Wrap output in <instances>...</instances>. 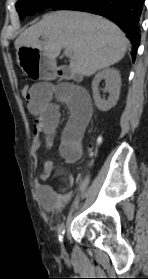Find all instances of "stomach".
<instances>
[{
  "label": "stomach",
  "instance_id": "obj_1",
  "mask_svg": "<svg viewBox=\"0 0 148 279\" xmlns=\"http://www.w3.org/2000/svg\"><path fill=\"white\" fill-rule=\"evenodd\" d=\"M27 48V47H25ZM16 50L17 66L27 82H58L56 63L43 50Z\"/></svg>",
  "mask_w": 148,
  "mask_h": 279
}]
</instances>
